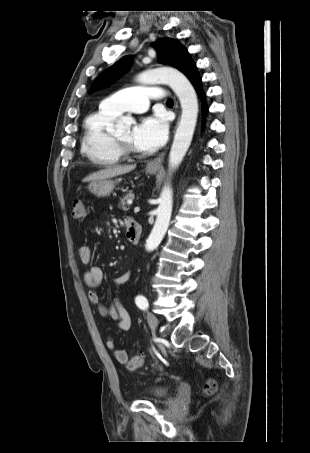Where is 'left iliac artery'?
<instances>
[{
  "instance_id": "1",
  "label": "left iliac artery",
  "mask_w": 310,
  "mask_h": 453,
  "mask_svg": "<svg viewBox=\"0 0 310 453\" xmlns=\"http://www.w3.org/2000/svg\"><path fill=\"white\" fill-rule=\"evenodd\" d=\"M135 302H136V305L142 310H147V308L149 306L148 300L142 295H138L135 298Z\"/></svg>"
}]
</instances>
